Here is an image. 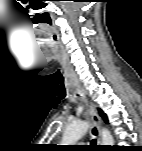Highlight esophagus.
Returning a JSON list of instances; mask_svg holds the SVG:
<instances>
[{
	"mask_svg": "<svg viewBox=\"0 0 142 151\" xmlns=\"http://www.w3.org/2000/svg\"><path fill=\"white\" fill-rule=\"evenodd\" d=\"M77 91L79 93H81V91L79 89ZM89 112H90V116L92 119V128H91L92 136L97 138L98 143H101V137H100L101 120H100V117L98 116L96 110L92 106H90Z\"/></svg>",
	"mask_w": 142,
	"mask_h": 151,
	"instance_id": "34e87169",
	"label": "esophagus"
}]
</instances>
